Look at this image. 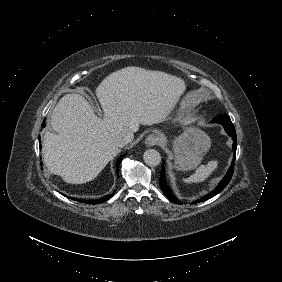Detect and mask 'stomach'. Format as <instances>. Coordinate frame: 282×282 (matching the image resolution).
Returning <instances> with one entry per match:
<instances>
[{
  "label": "stomach",
  "instance_id": "1",
  "mask_svg": "<svg viewBox=\"0 0 282 282\" xmlns=\"http://www.w3.org/2000/svg\"><path fill=\"white\" fill-rule=\"evenodd\" d=\"M171 144L174 159L172 166L176 170L186 171L195 169L201 163L211 147V139L204 131L188 127Z\"/></svg>",
  "mask_w": 282,
  "mask_h": 282
}]
</instances>
